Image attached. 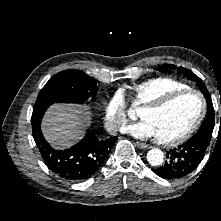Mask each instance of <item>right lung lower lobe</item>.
<instances>
[{
  "label": "right lung lower lobe",
  "instance_id": "98d812e1",
  "mask_svg": "<svg viewBox=\"0 0 221 221\" xmlns=\"http://www.w3.org/2000/svg\"><path fill=\"white\" fill-rule=\"evenodd\" d=\"M51 101L36 102L31 117L35 143L48 168L68 181L90 178L104 163L117 137L98 139L90 130L76 145L67 150H54L41 132V120Z\"/></svg>",
  "mask_w": 221,
  "mask_h": 221
}]
</instances>
